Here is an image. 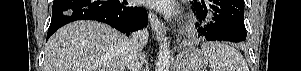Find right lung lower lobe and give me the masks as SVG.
I'll return each instance as SVG.
<instances>
[{
	"instance_id": "right-lung-lower-lobe-1",
	"label": "right lung lower lobe",
	"mask_w": 301,
	"mask_h": 71,
	"mask_svg": "<svg viewBox=\"0 0 301 71\" xmlns=\"http://www.w3.org/2000/svg\"><path fill=\"white\" fill-rule=\"evenodd\" d=\"M76 20H96L129 34L146 27L147 11L126 0H54L47 38L63 25Z\"/></svg>"
}]
</instances>
